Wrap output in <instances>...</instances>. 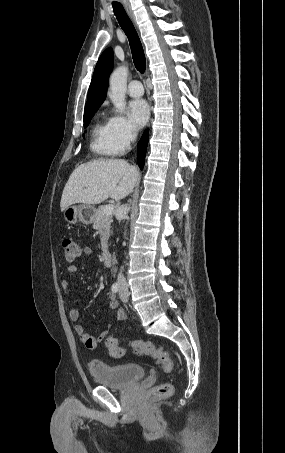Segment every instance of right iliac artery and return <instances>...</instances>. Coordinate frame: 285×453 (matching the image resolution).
I'll use <instances>...</instances> for the list:
<instances>
[{"label":"right iliac artery","mask_w":285,"mask_h":453,"mask_svg":"<svg viewBox=\"0 0 285 453\" xmlns=\"http://www.w3.org/2000/svg\"><path fill=\"white\" fill-rule=\"evenodd\" d=\"M112 291H113L114 293H116V292L119 291V284H118V283H114V284L112 285Z\"/></svg>","instance_id":"obj_1"}]
</instances>
